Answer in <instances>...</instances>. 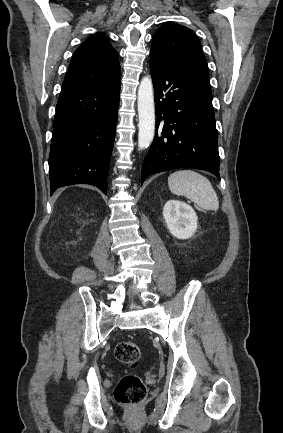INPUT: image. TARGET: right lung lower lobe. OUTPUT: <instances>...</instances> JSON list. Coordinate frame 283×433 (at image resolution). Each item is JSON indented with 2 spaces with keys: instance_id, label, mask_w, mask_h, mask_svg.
Instances as JSON below:
<instances>
[{
  "instance_id": "obj_1",
  "label": "right lung lower lobe",
  "mask_w": 283,
  "mask_h": 433,
  "mask_svg": "<svg viewBox=\"0 0 283 433\" xmlns=\"http://www.w3.org/2000/svg\"><path fill=\"white\" fill-rule=\"evenodd\" d=\"M120 77L105 84L60 93L49 156L50 193L91 184L105 194L115 139Z\"/></svg>"
}]
</instances>
